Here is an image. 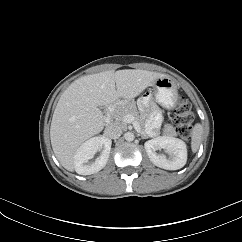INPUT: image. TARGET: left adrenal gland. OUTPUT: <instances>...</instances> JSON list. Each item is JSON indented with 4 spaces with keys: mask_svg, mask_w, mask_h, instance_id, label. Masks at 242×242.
<instances>
[{
    "mask_svg": "<svg viewBox=\"0 0 242 242\" xmlns=\"http://www.w3.org/2000/svg\"><path fill=\"white\" fill-rule=\"evenodd\" d=\"M140 136H141L142 139H147L148 138L146 135H140Z\"/></svg>",
    "mask_w": 242,
    "mask_h": 242,
    "instance_id": "obj_1",
    "label": "left adrenal gland"
}]
</instances>
